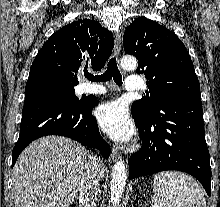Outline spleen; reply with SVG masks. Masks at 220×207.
Listing matches in <instances>:
<instances>
[{"label": "spleen", "mask_w": 220, "mask_h": 207, "mask_svg": "<svg viewBox=\"0 0 220 207\" xmlns=\"http://www.w3.org/2000/svg\"><path fill=\"white\" fill-rule=\"evenodd\" d=\"M153 207H205L202 186L191 176L175 171L155 175Z\"/></svg>", "instance_id": "1"}]
</instances>
